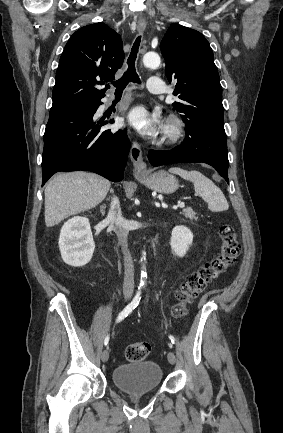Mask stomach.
Masks as SVG:
<instances>
[{"label": "stomach", "mask_w": 283, "mask_h": 433, "mask_svg": "<svg viewBox=\"0 0 283 433\" xmlns=\"http://www.w3.org/2000/svg\"><path fill=\"white\" fill-rule=\"evenodd\" d=\"M141 180L145 186L151 188V190H156V192H164V194H170V192H175L178 188V180L169 174L166 170H158V172H153V174H143Z\"/></svg>", "instance_id": "stomach-1"}]
</instances>
